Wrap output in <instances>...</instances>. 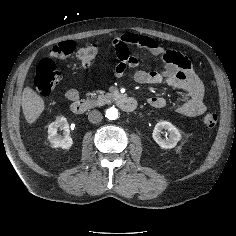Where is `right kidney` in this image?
<instances>
[{"mask_svg":"<svg viewBox=\"0 0 236 236\" xmlns=\"http://www.w3.org/2000/svg\"><path fill=\"white\" fill-rule=\"evenodd\" d=\"M58 128L64 130V136L58 135ZM48 140L55 148L69 149L73 145V139L69 136V124L64 116L57 117L48 126Z\"/></svg>","mask_w":236,"mask_h":236,"instance_id":"obj_1","label":"right kidney"}]
</instances>
